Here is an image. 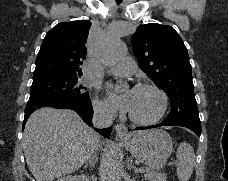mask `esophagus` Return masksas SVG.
Here are the masks:
<instances>
[{
  "label": "esophagus",
  "instance_id": "1",
  "mask_svg": "<svg viewBox=\"0 0 228 181\" xmlns=\"http://www.w3.org/2000/svg\"><path fill=\"white\" fill-rule=\"evenodd\" d=\"M115 130L118 137H127L129 136L128 128L124 124H118L115 126Z\"/></svg>",
  "mask_w": 228,
  "mask_h": 181
}]
</instances>
